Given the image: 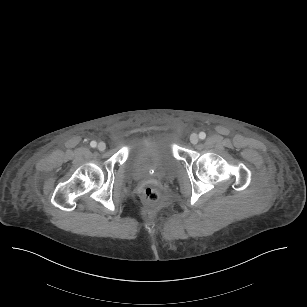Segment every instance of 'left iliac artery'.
<instances>
[{
    "instance_id": "obj_1",
    "label": "left iliac artery",
    "mask_w": 307,
    "mask_h": 307,
    "mask_svg": "<svg viewBox=\"0 0 307 307\" xmlns=\"http://www.w3.org/2000/svg\"><path fill=\"white\" fill-rule=\"evenodd\" d=\"M199 138L200 139H205L206 138V134L204 132H200L199 133Z\"/></svg>"
}]
</instances>
